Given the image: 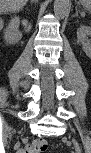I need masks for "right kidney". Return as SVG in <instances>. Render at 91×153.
<instances>
[{"mask_svg": "<svg viewBox=\"0 0 91 153\" xmlns=\"http://www.w3.org/2000/svg\"><path fill=\"white\" fill-rule=\"evenodd\" d=\"M19 17L15 16L11 19L8 28L5 30V40L8 44L14 45L20 41L22 34L19 32Z\"/></svg>", "mask_w": 91, "mask_h": 153, "instance_id": "obj_1", "label": "right kidney"}]
</instances>
